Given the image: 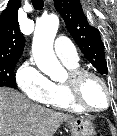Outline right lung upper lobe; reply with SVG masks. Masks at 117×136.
<instances>
[{
    "mask_svg": "<svg viewBox=\"0 0 117 136\" xmlns=\"http://www.w3.org/2000/svg\"><path fill=\"white\" fill-rule=\"evenodd\" d=\"M20 0H9L0 16V60H18L25 46V38L19 30L18 9Z\"/></svg>",
    "mask_w": 117,
    "mask_h": 136,
    "instance_id": "1",
    "label": "right lung upper lobe"
}]
</instances>
